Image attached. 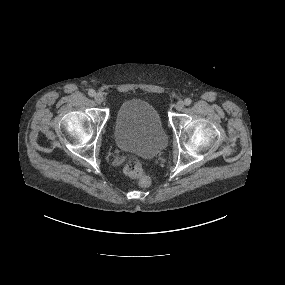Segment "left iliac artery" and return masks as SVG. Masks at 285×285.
Listing matches in <instances>:
<instances>
[{
	"label": "left iliac artery",
	"instance_id": "left-iliac-artery-1",
	"mask_svg": "<svg viewBox=\"0 0 285 285\" xmlns=\"http://www.w3.org/2000/svg\"><path fill=\"white\" fill-rule=\"evenodd\" d=\"M186 106H189L192 103V100L190 98L185 99L184 101Z\"/></svg>",
	"mask_w": 285,
	"mask_h": 285
}]
</instances>
